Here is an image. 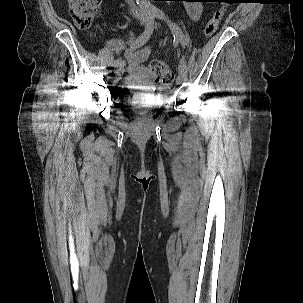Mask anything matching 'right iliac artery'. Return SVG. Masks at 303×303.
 <instances>
[{
    "mask_svg": "<svg viewBox=\"0 0 303 303\" xmlns=\"http://www.w3.org/2000/svg\"><path fill=\"white\" fill-rule=\"evenodd\" d=\"M146 17H147V26L145 30L142 32V34L139 35V37H137V39L131 45V49L133 50L143 46L148 41L151 34L153 33L154 25H155V16L146 13ZM124 64H125L124 60L117 59L113 63V68L116 69L120 66H124Z\"/></svg>",
    "mask_w": 303,
    "mask_h": 303,
    "instance_id": "82829eb1",
    "label": "right iliac artery"
}]
</instances>
